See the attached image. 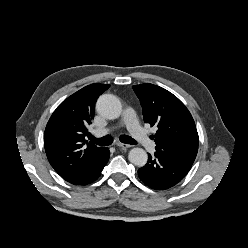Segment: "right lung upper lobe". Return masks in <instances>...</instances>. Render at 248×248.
<instances>
[{"label":"right lung upper lobe","instance_id":"right-lung-upper-lobe-1","mask_svg":"<svg viewBox=\"0 0 248 248\" xmlns=\"http://www.w3.org/2000/svg\"><path fill=\"white\" fill-rule=\"evenodd\" d=\"M108 84H91L65 99L53 112L44 133L47 158L66 181L79 177L104 148L88 144L85 136L91 124L97 98Z\"/></svg>","mask_w":248,"mask_h":248}]
</instances>
